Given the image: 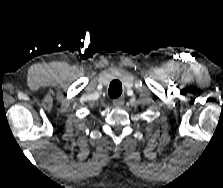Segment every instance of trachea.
<instances>
[{
  "label": "trachea",
  "instance_id": "3493384b",
  "mask_svg": "<svg viewBox=\"0 0 223 188\" xmlns=\"http://www.w3.org/2000/svg\"><path fill=\"white\" fill-rule=\"evenodd\" d=\"M108 94L113 99L118 98L122 94V84L119 80H114L111 82Z\"/></svg>",
  "mask_w": 223,
  "mask_h": 188
}]
</instances>
